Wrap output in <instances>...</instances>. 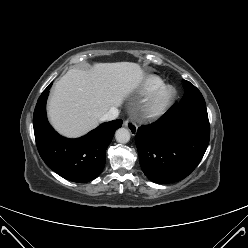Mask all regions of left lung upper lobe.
<instances>
[{"instance_id":"5c2ea615","label":"left lung upper lobe","mask_w":248,"mask_h":248,"mask_svg":"<svg viewBox=\"0 0 248 248\" xmlns=\"http://www.w3.org/2000/svg\"><path fill=\"white\" fill-rule=\"evenodd\" d=\"M183 85H184L185 94L181 99V101L179 102L180 104L186 103L189 99L203 97L200 91L189 81L183 80Z\"/></svg>"}]
</instances>
